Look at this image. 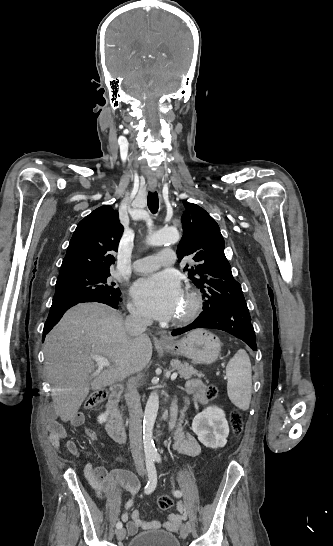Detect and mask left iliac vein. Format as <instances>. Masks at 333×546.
I'll return each instance as SVG.
<instances>
[{"label": "left iliac vein", "mask_w": 333, "mask_h": 546, "mask_svg": "<svg viewBox=\"0 0 333 546\" xmlns=\"http://www.w3.org/2000/svg\"><path fill=\"white\" fill-rule=\"evenodd\" d=\"M190 533V525L188 523H183L181 526L180 534L182 538H186Z\"/></svg>", "instance_id": "obj_1"}]
</instances>
